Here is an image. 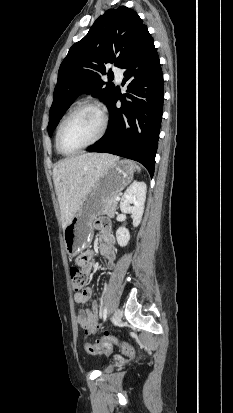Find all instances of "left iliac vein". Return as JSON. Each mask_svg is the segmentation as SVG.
<instances>
[{
    "label": "left iliac vein",
    "mask_w": 233,
    "mask_h": 413,
    "mask_svg": "<svg viewBox=\"0 0 233 413\" xmlns=\"http://www.w3.org/2000/svg\"><path fill=\"white\" fill-rule=\"evenodd\" d=\"M121 318H122V311L119 308H117L114 311L113 322L118 323L121 320Z\"/></svg>",
    "instance_id": "obj_1"
}]
</instances>
